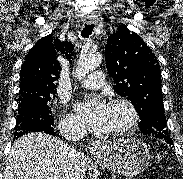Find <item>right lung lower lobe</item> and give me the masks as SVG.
<instances>
[{"mask_svg":"<svg viewBox=\"0 0 183 179\" xmlns=\"http://www.w3.org/2000/svg\"><path fill=\"white\" fill-rule=\"evenodd\" d=\"M31 132H45V133L50 134V135H53L54 134V131H53V128L52 127L45 128V129H41V130H36V131H31ZM26 133H28V132L22 133L19 136H15V138H19L20 136H22L23 134H26Z\"/></svg>","mask_w":183,"mask_h":179,"instance_id":"1","label":"right lung lower lobe"}]
</instances>
